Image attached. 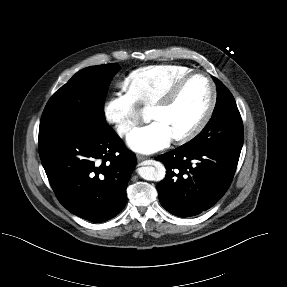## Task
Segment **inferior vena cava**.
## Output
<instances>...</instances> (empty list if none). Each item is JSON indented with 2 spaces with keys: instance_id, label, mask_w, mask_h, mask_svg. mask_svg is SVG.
I'll return each instance as SVG.
<instances>
[{
  "instance_id": "602c4592",
  "label": "inferior vena cava",
  "mask_w": 287,
  "mask_h": 287,
  "mask_svg": "<svg viewBox=\"0 0 287 287\" xmlns=\"http://www.w3.org/2000/svg\"><path fill=\"white\" fill-rule=\"evenodd\" d=\"M130 130H131V127H130L129 125L122 126V127H119V128L117 129V131H118V133H119L120 135H122V134H124V133H127V132L130 131Z\"/></svg>"
}]
</instances>
